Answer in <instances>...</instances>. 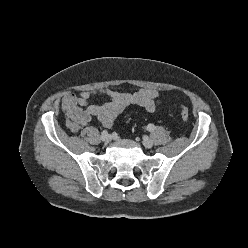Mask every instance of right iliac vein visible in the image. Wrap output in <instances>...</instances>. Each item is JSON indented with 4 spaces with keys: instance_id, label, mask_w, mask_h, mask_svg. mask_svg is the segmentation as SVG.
<instances>
[{
    "instance_id": "1",
    "label": "right iliac vein",
    "mask_w": 248,
    "mask_h": 248,
    "mask_svg": "<svg viewBox=\"0 0 248 248\" xmlns=\"http://www.w3.org/2000/svg\"><path fill=\"white\" fill-rule=\"evenodd\" d=\"M103 143L107 145L111 141V136L107 135L104 139H102Z\"/></svg>"
}]
</instances>
